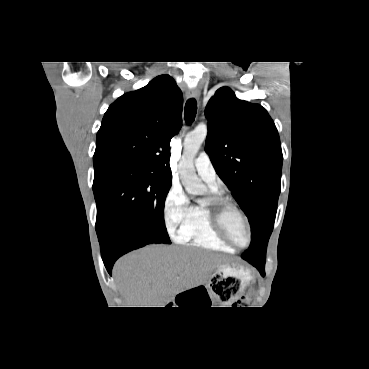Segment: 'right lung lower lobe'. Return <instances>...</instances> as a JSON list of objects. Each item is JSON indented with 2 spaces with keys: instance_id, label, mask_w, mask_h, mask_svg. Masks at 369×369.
I'll list each match as a JSON object with an SVG mask.
<instances>
[{
  "instance_id": "98d812e1",
  "label": "right lung lower lobe",
  "mask_w": 369,
  "mask_h": 369,
  "mask_svg": "<svg viewBox=\"0 0 369 369\" xmlns=\"http://www.w3.org/2000/svg\"><path fill=\"white\" fill-rule=\"evenodd\" d=\"M99 243L103 262L110 275L114 262L121 255L147 244H152L138 231L127 226L110 231L104 239L99 240Z\"/></svg>"
}]
</instances>
